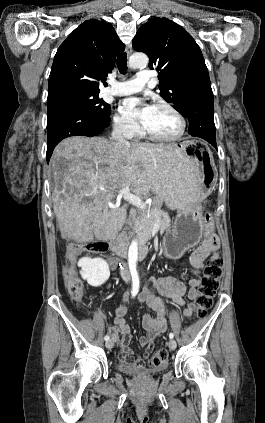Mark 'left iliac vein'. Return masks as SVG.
Returning a JSON list of instances; mask_svg holds the SVG:
<instances>
[{"label":"left iliac vein","mask_w":265,"mask_h":423,"mask_svg":"<svg viewBox=\"0 0 265 423\" xmlns=\"http://www.w3.org/2000/svg\"><path fill=\"white\" fill-rule=\"evenodd\" d=\"M176 346H177V344H176V341H175V340L171 339V340L168 342V347H169L171 350H175Z\"/></svg>","instance_id":"obj_1"}]
</instances>
